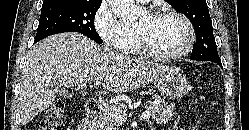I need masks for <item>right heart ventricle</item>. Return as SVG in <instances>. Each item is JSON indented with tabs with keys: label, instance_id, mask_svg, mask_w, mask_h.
<instances>
[{
	"label": "right heart ventricle",
	"instance_id": "right-heart-ventricle-1",
	"mask_svg": "<svg viewBox=\"0 0 249 130\" xmlns=\"http://www.w3.org/2000/svg\"><path fill=\"white\" fill-rule=\"evenodd\" d=\"M139 51V45H138V39H137V36H136V33H135V40H134V43L132 45V48H131V51L130 52H138Z\"/></svg>",
	"mask_w": 249,
	"mask_h": 130
}]
</instances>
